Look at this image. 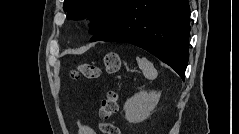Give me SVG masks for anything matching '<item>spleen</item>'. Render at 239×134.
I'll return each instance as SVG.
<instances>
[{"label": "spleen", "instance_id": "3e777b00", "mask_svg": "<svg viewBox=\"0 0 239 134\" xmlns=\"http://www.w3.org/2000/svg\"><path fill=\"white\" fill-rule=\"evenodd\" d=\"M137 63L139 68L142 70L144 76L149 79L153 80L157 77L158 72L155 69L154 65L146 58H137Z\"/></svg>", "mask_w": 239, "mask_h": 134}]
</instances>
